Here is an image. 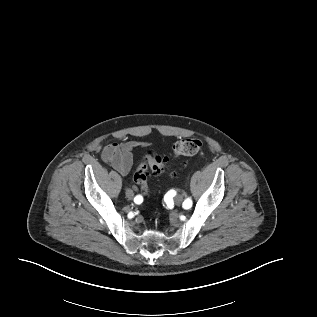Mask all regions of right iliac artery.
<instances>
[{
  "label": "right iliac artery",
  "mask_w": 317,
  "mask_h": 317,
  "mask_svg": "<svg viewBox=\"0 0 317 317\" xmlns=\"http://www.w3.org/2000/svg\"><path fill=\"white\" fill-rule=\"evenodd\" d=\"M142 201H143V197H142L141 195H137V196L134 198V202H135L136 204H140V203H142Z\"/></svg>",
  "instance_id": "obj_1"
}]
</instances>
